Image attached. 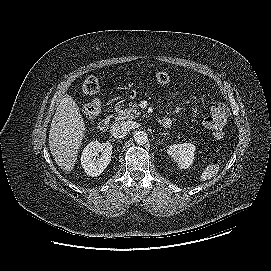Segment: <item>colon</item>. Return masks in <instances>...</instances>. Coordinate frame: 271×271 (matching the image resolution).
<instances>
[{"label":"colon","mask_w":271,"mask_h":271,"mask_svg":"<svg viewBox=\"0 0 271 271\" xmlns=\"http://www.w3.org/2000/svg\"><path fill=\"white\" fill-rule=\"evenodd\" d=\"M155 80L160 84H169L172 81V77L167 72H157L154 76ZM100 84L99 80L95 76L87 77L82 85L83 92L89 95H94L99 91ZM84 116L88 120L96 119L102 111V103L98 98H94L90 102L86 103L82 108ZM215 135L217 137L221 136L219 130L216 131Z\"/></svg>","instance_id":"1"}]
</instances>
